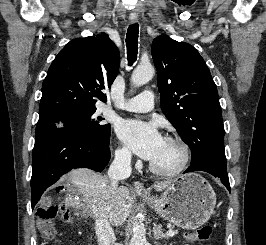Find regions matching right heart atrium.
<instances>
[{"label": "right heart atrium", "instance_id": "right-heart-atrium-1", "mask_svg": "<svg viewBox=\"0 0 266 245\" xmlns=\"http://www.w3.org/2000/svg\"><path fill=\"white\" fill-rule=\"evenodd\" d=\"M115 157L118 161L127 163L131 161L132 154L129 148L125 146H119L115 151Z\"/></svg>", "mask_w": 266, "mask_h": 245}]
</instances>
